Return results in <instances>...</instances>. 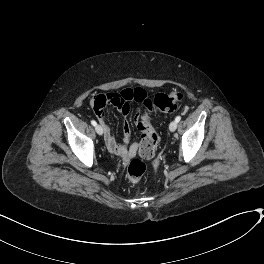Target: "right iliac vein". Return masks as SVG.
I'll use <instances>...</instances> for the list:
<instances>
[{"label":"right iliac vein","mask_w":264,"mask_h":264,"mask_svg":"<svg viewBox=\"0 0 264 264\" xmlns=\"http://www.w3.org/2000/svg\"><path fill=\"white\" fill-rule=\"evenodd\" d=\"M95 130H96L97 134H99V135L103 134V128L100 125H96Z\"/></svg>","instance_id":"obj_1"}]
</instances>
